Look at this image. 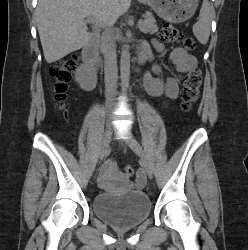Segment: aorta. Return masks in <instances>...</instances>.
<instances>
[{
    "label": "aorta",
    "mask_w": 248,
    "mask_h": 250,
    "mask_svg": "<svg viewBox=\"0 0 248 250\" xmlns=\"http://www.w3.org/2000/svg\"><path fill=\"white\" fill-rule=\"evenodd\" d=\"M120 73L122 90L123 92H126L129 87L130 79V53L127 44L124 45L121 52Z\"/></svg>",
    "instance_id": "aorta-1"
}]
</instances>
